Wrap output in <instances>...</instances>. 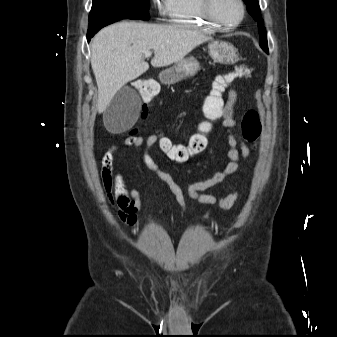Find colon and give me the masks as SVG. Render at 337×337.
<instances>
[{
  "instance_id": "obj_1",
  "label": "colon",
  "mask_w": 337,
  "mask_h": 337,
  "mask_svg": "<svg viewBox=\"0 0 337 337\" xmlns=\"http://www.w3.org/2000/svg\"><path fill=\"white\" fill-rule=\"evenodd\" d=\"M253 73V68L247 64H240L235 69L225 75L217 76L213 82L212 94H206L205 100L200 101L201 107H208L202 109V116H223V109L225 107V100L223 95L220 94L225 87H227L236 78H249ZM136 89L142 96L143 103H154L157 98V85L150 79H139L134 82ZM141 118L151 119L154 112L153 106L141 107ZM205 125L211 124L210 118L204 119ZM154 132L159 133V151H163L168 156L169 161H185L191 156L199 154L206 147V140L203 135L197 134L188 140L187 144H175L173 137H166V133L162 132L161 126H155ZM261 122L259 114L256 110H248L241 122V131L243 138L256 145L261 135ZM134 134V133H133Z\"/></svg>"
}]
</instances>
